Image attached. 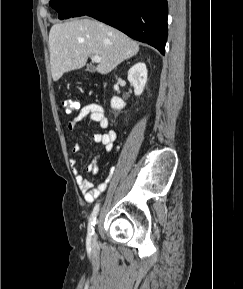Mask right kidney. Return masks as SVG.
I'll return each instance as SVG.
<instances>
[{
  "label": "right kidney",
  "mask_w": 243,
  "mask_h": 289,
  "mask_svg": "<svg viewBox=\"0 0 243 289\" xmlns=\"http://www.w3.org/2000/svg\"><path fill=\"white\" fill-rule=\"evenodd\" d=\"M128 80L134 87V93L136 96L142 94L147 82V68L145 63L139 62L132 66L128 71ZM126 103L119 97H112L111 108L114 110H120L124 108Z\"/></svg>",
  "instance_id": "1"
}]
</instances>
